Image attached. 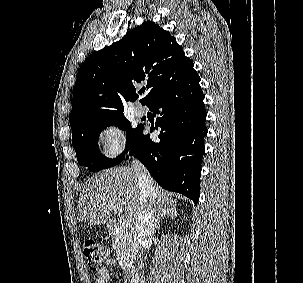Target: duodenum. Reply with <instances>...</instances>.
I'll use <instances>...</instances> for the list:
<instances>
[{"label":"duodenum","instance_id":"obj_1","mask_svg":"<svg viewBox=\"0 0 303 283\" xmlns=\"http://www.w3.org/2000/svg\"><path fill=\"white\" fill-rule=\"evenodd\" d=\"M109 228L111 229V231L113 233H116L119 230V223L116 221H112L109 223ZM129 282L130 283H142V278L139 274L131 275L129 278Z\"/></svg>","mask_w":303,"mask_h":283}]
</instances>
